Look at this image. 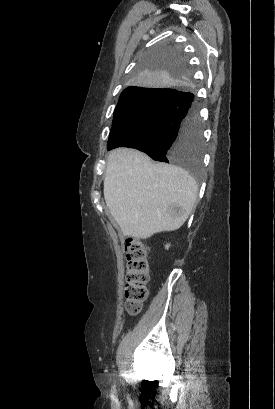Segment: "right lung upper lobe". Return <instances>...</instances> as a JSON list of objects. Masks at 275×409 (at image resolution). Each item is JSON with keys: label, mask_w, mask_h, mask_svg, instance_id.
I'll list each match as a JSON object with an SVG mask.
<instances>
[{"label": "right lung upper lobe", "mask_w": 275, "mask_h": 409, "mask_svg": "<svg viewBox=\"0 0 275 409\" xmlns=\"http://www.w3.org/2000/svg\"><path fill=\"white\" fill-rule=\"evenodd\" d=\"M151 91H158V90H135L134 86L128 87L126 88L121 96H120V100H123L124 98H126L127 96L131 95V94H135V93H141V92H151Z\"/></svg>", "instance_id": "1"}]
</instances>
